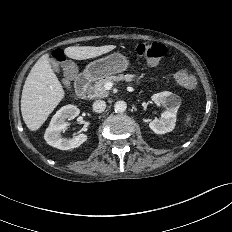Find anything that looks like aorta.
Segmentation results:
<instances>
[{
    "mask_svg": "<svg viewBox=\"0 0 232 232\" xmlns=\"http://www.w3.org/2000/svg\"><path fill=\"white\" fill-rule=\"evenodd\" d=\"M127 108V104L125 101L119 100L114 105V110L117 113H123Z\"/></svg>",
    "mask_w": 232,
    "mask_h": 232,
    "instance_id": "obj_1",
    "label": "aorta"
}]
</instances>
